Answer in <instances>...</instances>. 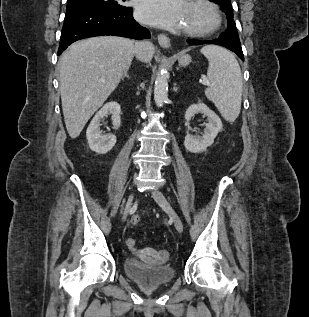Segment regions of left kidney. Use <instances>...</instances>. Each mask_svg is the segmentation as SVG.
Wrapping results in <instances>:
<instances>
[{"mask_svg": "<svg viewBox=\"0 0 309 317\" xmlns=\"http://www.w3.org/2000/svg\"><path fill=\"white\" fill-rule=\"evenodd\" d=\"M198 113H203L207 116L208 123L205 125L204 134L191 135L187 134L184 140L185 148L192 153H200L206 151L207 147L211 146L215 137L222 129L221 119L209 109L204 103L191 105L185 112V120L189 122L192 117Z\"/></svg>", "mask_w": 309, "mask_h": 317, "instance_id": "left-kidney-1", "label": "left kidney"}]
</instances>
